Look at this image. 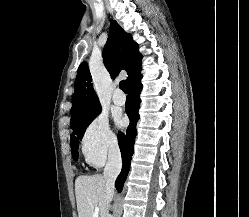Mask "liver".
Returning <instances> with one entry per match:
<instances>
[{
  "label": "liver",
  "mask_w": 249,
  "mask_h": 217,
  "mask_svg": "<svg viewBox=\"0 0 249 217\" xmlns=\"http://www.w3.org/2000/svg\"><path fill=\"white\" fill-rule=\"evenodd\" d=\"M75 194L79 217H93L97 206L100 216L108 217L106 181L102 175L79 176L75 181Z\"/></svg>",
  "instance_id": "6515ba94"
}]
</instances>
